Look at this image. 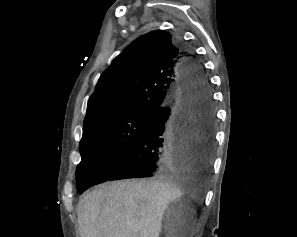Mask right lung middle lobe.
I'll return each instance as SVG.
<instances>
[{
	"label": "right lung middle lobe",
	"instance_id": "dd1d6c3e",
	"mask_svg": "<svg viewBox=\"0 0 297 237\" xmlns=\"http://www.w3.org/2000/svg\"><path fill=\"white\" fill-rule=\"evenodd\" d=\"M153 112L139 111L109 117L83 130L82 160L76 169L77 190L82 193L97 184L140 137Z\"/></svg>",
	"mask_w": 297,
	"mask_h": 237
}]
</instances>
